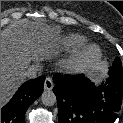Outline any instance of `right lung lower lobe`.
Segmentation results:
<instances>
[{"label":"right lung lower lobe","instance_id":"98d812e1","mask_svg":"<svg viewBox=\"0 0 123 123\" xmlns=\"http://www.w3.org/2000/svg\"><path fill=\"white\" fill-rule=\"evenodd\" d=\"M45 77L25 82L13 98L1 108V123H25V112L43 92Z\"/></svg>","mask_w":123,"mask_h":123}]
</instances>
